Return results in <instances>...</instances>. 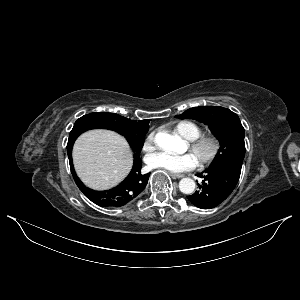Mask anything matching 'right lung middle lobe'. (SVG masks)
Instances as JSON below:
<instances>
[{"instance_id":"obj_1","label":"right lung middle lobe","mask_w":300,"mask_h":300,"mask_svg":"<svg viewBox=\"0 0 300 300\" xmlns=\"http://www.w3.org/2000/svg\"><path fill=\"white\" fill-rule=\"evenodd\" d=\"M95 128L110 129L118 132L127 139L132 148L139 151L143 147L144 137L148 130V128L142 130L132 129L121 121L118 114L106 112L91 113L82 116L75 122L69 135L67 147L72 146L81 133Z\"/></svg>"}]
</instances>
